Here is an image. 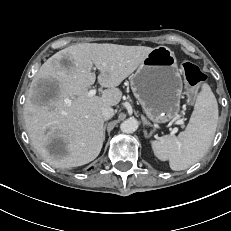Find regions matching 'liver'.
Masks as SVG:
<instances>
[{
    "mask_svg": "<svg viewBox=\"0 0 231 231\" xmlns=\"http://www.w3.org/2000/svg\"><path fill=\"white\" fill-rule=\"evenodd\" d=\"M154 48L117 44L71 45L51 56L34 76L24 105L26 130L35 150L56 168H70L93 161L100 153L103 107L117 105V88ZM93 65L100 71L98 83L107 89L88 96L95 83ZM54 83L53 96L43 103L33 98L39 83Z\"/></svg>",
    "mask_w": 231,
    "mask_h": 231,
    "instance_id": "1",
    "label": "liver"
}]
</instances>
